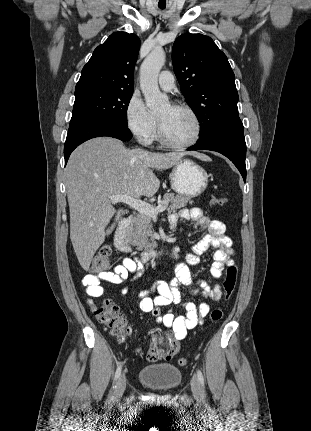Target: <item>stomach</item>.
I'll return each instance as SVG.
<instances>
[{
    "instance_id": "1",
    "label": "stomach",
    "mask_w": 311,
    "mask_h": 431,
    "mask_svg": "<svg viewBox=\"0 0 311 431\" xmlns=\"http://www.w3.org/2000/svg\"><path fill=\"white\" fill-rule=\"evenodd\" d=\"M169 180L172 190L178 196L197 198L206 190L209 176L204 168L195 164L193 160H180L175 164Z\"/></svg>"
}]
</instances>
